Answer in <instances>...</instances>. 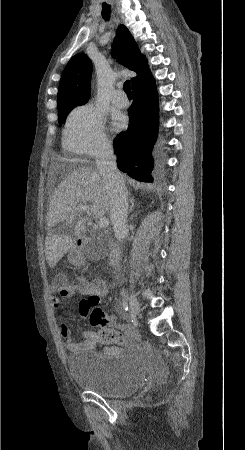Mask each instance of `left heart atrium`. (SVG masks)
<instances>
[{
  "mask_svg": "<svg viewBox=\"0 0 245 450\" xmlns=\"http://www.w3.org/2000/svg\"><path fill=\"white\" fill-rule=\"evenodd\" d=\"M126 123V118L123 115H118L115 119L114 126L116 128H121Z\"/></svg>",
  "mask_w": 245,
  "mask_h": 450,
  "instance_id": "obj_1",
  "label": "left heart atrium"
}]
</instances>
